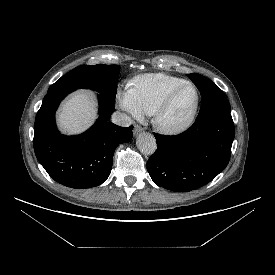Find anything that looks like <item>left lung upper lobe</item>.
I'll return each mask as SVG.
<instances>
[{"label": "left lung upper lobe", "instance_id": "5c2ea615", "mask_svg": "<svg viewBox=\"0 0 275 275\" xmlns=\"http://www.w3.org/2000/svg\"><path fill=\"white\" fill-rule=\"evenodd\" d=\"M188 76L200 90L202 96L201 108L197 118L216 114H230V104L225 94L214 82L196 73L188 74Z\"/></svg>", "mask_w": 275, "mask_h": 275}]
</instances>
